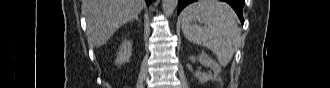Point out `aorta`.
Listing matches in <instances>:
<instances>
[{"instance_id":"762f6f07","label":"aorta","mask_w":330,"mask_h":88,"mask_svg":"<svg viewBox=\"0 0 330 88\" xmlns=\"http://www.w3.org/2000/svg\"><path fill=\"white\" fill-rule=\"evenodd\" d=\"M178 5V0H162L163 12L167 16H171Z\"/></svg>"}]
</instances>
